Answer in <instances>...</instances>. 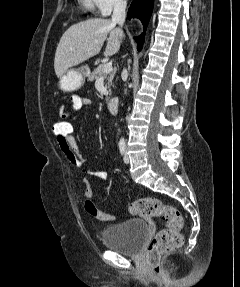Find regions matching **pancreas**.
<instances>
[{"mask_svg": "<svg viewBox=\"0 0 240 287\" xmlns=\"http://www.w3.org/2000/svg\"><path fill=\"white\" fill-rule=\"evenodd\" d=\"M103 67H104V64H99L97 66L96 69H94V71L89 75L88 79L89 81H94L100 77H105L106 79V88L109 89V94H111V90H110V86L112 84V80L114 78V74L115 72L114 71H111L110 73L108 74H105L104 71H103ZM108 97L106 98V100L108 101Z\"/></svg>", "mask_w": 240, "mask_h": 287, "instance_id": "cf45deb5", "label": "pancreas"}]
</instances>
